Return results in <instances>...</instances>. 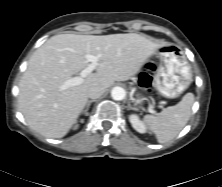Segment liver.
I'll use <instances>...</instances> for the list:
<instances>
[{"label":"liver","instance_id":"6515ba94","mask_svg":"<svg viewBox=\"0 0 222 187\" xmlns=\"http://www.w3.org/2000/svg\"><path fill=\"white\" fill-rule=\"evenodd\" d=\"M159 42L140 34H60L48 39L31 56L19 83L18 106L31 129L48 138L65 136L77 122L93 86L109 88L137 74L155 54ZM98 57L96 72L79 85L62 89L65 81L79 74Z\"/></svg>","mask_w":222,"mask_h":187}]
</instances>
